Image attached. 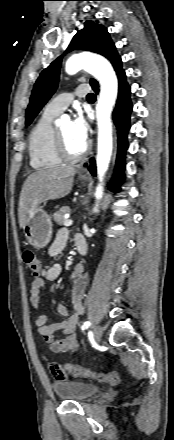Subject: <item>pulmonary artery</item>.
Listing matches in <instances>:
<instances>
[{
	"label": "pulmonary artery",
	"mask_w": 174,
	"mask_h": 440,
	"mask_svg": "<svg viewBox=\"0 0 174 440\" xmlns=\"http://www.w3.org/2000/svg\"><path fill=\"white\" fill-rule=\"evenodd\" d=\"M89 93H90V87L86 84H81L76 88L74 94L63 93L53 98L46 105L45 110L47 112L60 114L69 106L74 96L84 97V96H88Z\"/></svg>",
	"instance_id": "1"
}]
</instances>
